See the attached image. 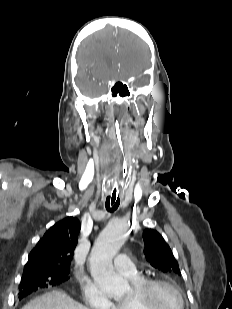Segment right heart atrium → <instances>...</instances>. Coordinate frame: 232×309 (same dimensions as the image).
Listing matches in <instances>:
<instances>
[{
	"mask_svg": "<svg viewBox=\"0 0 232 309\" xmlns=\"http://www.w3.org/2000/svg\"><path fill=\"white\" fill-rule=\"evenodd\" d=\"M85 304L91 309H113V302L106 293L94 282H81Z\"/></svg>",
	"mask_w": 232,
	"mask_h": 309,
	"instance_id": "d8ad5b80",
	"label": "right heart atrium"
}]
</instances>
